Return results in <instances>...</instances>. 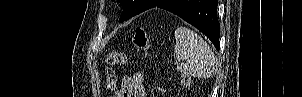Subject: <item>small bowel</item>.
<instances>
[{
    "label": "small bowel",
    "mask_w": 302,
    "mask_h": 97,
    "mask_svg": "<svg viewBox=\"0 0 302 97\" xmlns=\"http://www.w3.org/2000/svg\"><path fill=\"white\" fill-rule=\"evenodd\" d=\"M114 97H147L142 74L137 72L126 75L122 80L120 91Z\"/></svg>",
    "instance_id": "small-bowel-1"
}]
</instances>
